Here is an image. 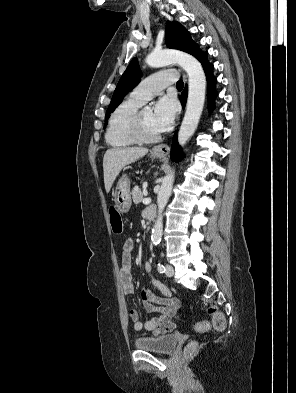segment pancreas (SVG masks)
Returning a JSON list of instances; mask_svg holds the SVG:
<instances>
[{
  "instance_id": "1",
  "label": "pancreas",
  "mask_w": 296,
  "mask_h": 393,
  "mask_svg": "<svg viewBox=\"0 0 296 393\" xmlns=\"http://www.w3.org/2000/svg\"><path fill=\"white\" fill-rule=\"evenodd\" d=\"M132 198L135 204H139L144 199V194L138 186H135L132 190Z\"/></svg>"
}]
</instances>
